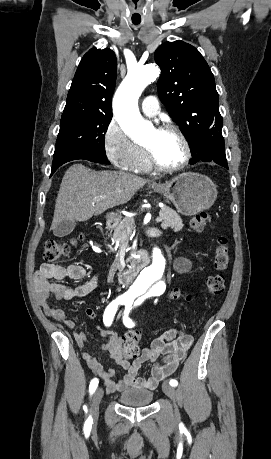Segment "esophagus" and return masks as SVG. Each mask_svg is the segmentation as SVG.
<instances>
[{"label": "esophagus", "mask_w": 271, "mask_h": 459, "mask_svg": "<svg viewBox=\"0 0 271 459\" xmlns=\"http://www.w3.org/2000/svg\"><path fill=\"white\" fill-rule=\"evenodd\" d=\"M150 184H151V185H155V184H156V182H155V181H151V183H150Z\"/></svg>", "instance_id": "esophagus-1"}]
</instances>
